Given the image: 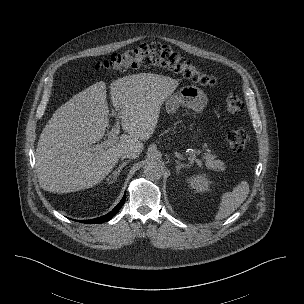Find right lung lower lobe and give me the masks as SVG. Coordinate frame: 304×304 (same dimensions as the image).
Returning a JSON list of instances; mask_svg holds the SVG:
<instances>
[{
  "mask_svg": "<svg viewBox=\"0 0 304 304\" xmlns=\"http://www.w3.org/2000/svg\"><path fill=\"white\" fill-rule=\"evenodd\" d=\"M125 199H126V194H124V196H123L122 200L119 202V204L108 214H106L104 216H101V217H98V218H95V219L79 220V222H82V223H103V222L109 221L121 209V207L123 206V204L125 202Z\"/></svg>",
  "mask_w": 304,
  "mask_h": 304,
  "instance_id": "98d812e1",
  "label": "right lung lower lobe"
}]
</instances>
